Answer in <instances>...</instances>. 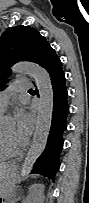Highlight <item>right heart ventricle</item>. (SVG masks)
Returning a JSON list of instances; mask_svg holds the SVG:
<instances>
[{
  "label": "right heart ventricle",
  "mask_w": 89,
  "mask_h": 203,
  "mask_svg": "<svg viewBox=\"0 0 89 203\" xmlns=\"http://www.w3.org/2000/svg\"><path fill=\"white\" fill-rule=\"evenodd\" d=\"M7 158L8 156L2 150L1 139H0V160H6Z\"/></svg>",
  "instance_id": "1"
}]
</instances>
